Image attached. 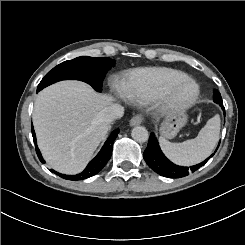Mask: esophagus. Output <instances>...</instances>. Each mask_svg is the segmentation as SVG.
I'll return each instance as SVG.
<instances>
[{"instance_id":"obj_1","label":"esophagus","mask_w":245,"mask_h":245,"mask_svg":"<svg viewBox=\"0 0 245 245\" xmlns=\"http://www.w3.org/2000/svg\"><path fill=\"white\" fill-rule=\"evenodd\" d=\"M142 121H143V117H142L141 115H135V116L130 120V126L140 125Z\"/></svg>"}]
</instances>
